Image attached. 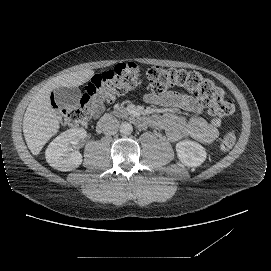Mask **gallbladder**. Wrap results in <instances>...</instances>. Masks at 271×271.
<instances>
[{"label": "gallbladder", "mask_w": 271, "mask_h": 271, "mask_svg": "<svg viewBox=\"0 0 271 271\" xmlns=\"http://www.w3.org/2000/svg\"><path fill=\"white\" fill-rule=\"evenodd\" d=\"M56 103L65 111H74L81 104V94L74 87H60L55 90Z\"/></svg>", "instance_id": "bac80fb5"}]
</instances>
